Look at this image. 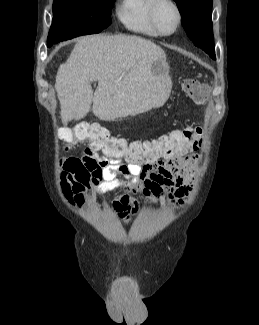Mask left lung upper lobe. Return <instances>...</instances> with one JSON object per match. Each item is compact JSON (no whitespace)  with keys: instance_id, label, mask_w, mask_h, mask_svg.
Listing matches in <instances>:
<instances>
[{"instance_id":"5c2ea615","label":"left lung upper lobe","mask_w":259,"mask_h":325,"mask_svg":"<svg viewBox=\"0 0 259 325\" xmlns=\"http://www.w3.org/2000/svg\"><path fill=\"white\" fill-rule=\"evenodd\" d=\"M183 18V27L193 43L215 57L212 30V0H174Z\"/></svg>"}]
</instances>
